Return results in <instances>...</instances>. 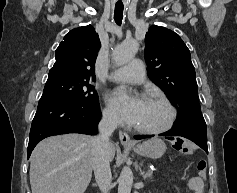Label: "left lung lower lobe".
Wrapping results in <instances>:
<instances>
[{
    "instance_id": "obj_1",
    "label": "left lung lower lobe",
    "mask_w": 237,
    "mask_h": 193,
    "mask_svg": "<svg viewBox=\"0 0 237 193\" xmlns=\"http://www.w3.org/2000/svg\"><path fill=\"white\" fill-rule=\"evenodd\" d=\"M154 135H137L134 138L135 139H144L153 137ZM160 136H166L167 139H173V137L169 136H181L185 137L194 143H196L198 146H200L203 150H205L208 153L207 148V131L200 130V129H193V128H175L173 127L171 130L160 134Z\"/></svg>"
}]
</instances>
